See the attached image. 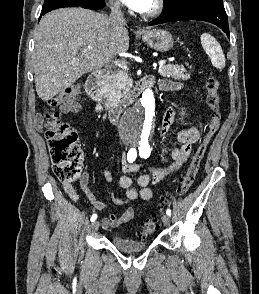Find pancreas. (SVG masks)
<instances>
[{
  "instance_id": "obj_1",
  "label": "pancreas",
  "mask_w": 259,
  "mask_h": 294,
  "mask_svg": "<svg viewBox=\"0 0 259 294\" xmlns=\"http://www.w3.org/2000/svg\"><path fill=\"white\" fill-rule=\"evenodd\" d=\"M158 72L163 77H172L175 80H188L191 76V73L183 65H164L159 68ZM131 87L132 79L126 69L117 70L115 73H112L104 87L106 106L128 104L132 100V97L128 95Z\"/></svg>"
}]
</instances>
